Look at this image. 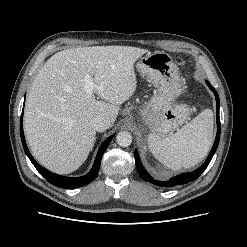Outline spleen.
<instances>
[{
	"label": "spleen",
	"instance_id": "spleen-1",
	"mask_svg": "<svg viewBox=\"0 0 247 247\" xmlns=\"http://www.w3.org/2000/svg\"><path fill=\"white\" fill-rule=\"evenodd\" d=\"M213 142V113L203 110L198 116L169 137L148 136L153 156L166 167L191 168L207 155Z\"/></svg>",
	"mask_w": 247,
	"mask_h": 247
}]
</instances>
